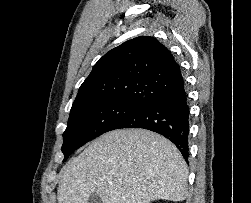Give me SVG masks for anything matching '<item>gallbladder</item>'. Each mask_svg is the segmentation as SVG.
I'll return each instance as SVG.
<instances>
[{
  "label": "gallbladder",
  "mask_w": 251,
  "mask_h": 203,
  "mask_svg": "<svg viewBox=\"0 0 251 203\" xmlns=\"http://www.w3.org/2000/svg\"><path fill=\"white\" fill-rule=\"evenodd\" d=\"M88 203H102L100 196L97 193H93L88 200Z\"/></svg>",
  "instance_id": "bac80fb5"
}]
</instances>
